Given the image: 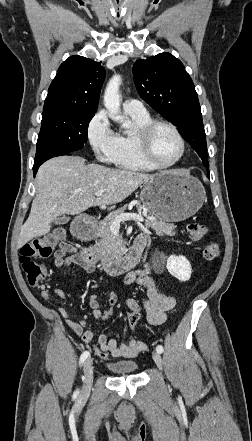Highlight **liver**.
<instances>
[{
    "label": "liver",
    "mask_w": 252,
    "mask_h": 441,
    "mask_svg": "<svg viewBox=\"0 0 252 441\" xmlns=\"http://www.w3.org/2000/svg\"><path fill=\"white\" fill-rule=\"evenodd\" d=\"M155 175L85 164V159L60 156L46 161L36 176V196L21 227L17 246L48 234L63 214L78 215L92 206L117 204ZM103 190L101 196L95 192Z\"/></svg>",
    "instance_id": "obj_1"
}]
</instances>
